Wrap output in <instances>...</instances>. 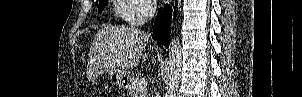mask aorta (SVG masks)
I'll return each mask as SVG.
<instances>
[{"mask_svg": "<svg viewBox=\"0 0 302 97\" xmlns=\"http://www.w3.org/2000/svg\"><path fill=\"white\" fill-rule=\"evenodd\" d=\"M181 67L182 48L179 37H176L172 40L169 51L167 87L165 97H176L181 77Z\"/></svg>", "mask_w": 302, "mask_h": 97, "instance_id": "762f6f07", "label": "aorta"}]
</instances>
